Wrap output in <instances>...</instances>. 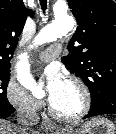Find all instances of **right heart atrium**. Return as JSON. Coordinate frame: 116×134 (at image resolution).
I'll use <instances>...</instances> for the list:
<instances>
[{"label":"right heart atrium","instance_id":"1","mask_svg":"<svg viewBox=\"0 0 116 134\" xmlns=\"http://www.w3.org/2000/svg\"><path fill=\"white\" fill-rule=\"evenodd\" d=\"M5 97L9 105L19 113L34 115L42 108V101L33 97L14 80H9L5 88Z\"/></svg>","mask_w":116,"mask_h":134}]
</instances>
